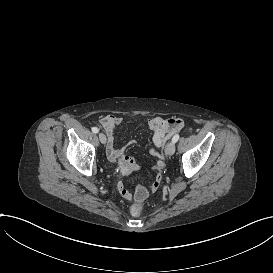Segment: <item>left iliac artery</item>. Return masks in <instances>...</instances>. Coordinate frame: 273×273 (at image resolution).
<instances>
[{"label": "left iliac artery", "mask_w": 273, "mask_h": 273, "mask_svg": "<svg viewBox=\"0 0 273 273\" xmlns=\"http://www.w3.org/2000/svg\"><path fill=\"white\" fill-rule=\"evenodd\" d=\"M178 140H179V135L178 134L174 135V137L172 138V141L176 143Z\"/></svg>", "instance_id": "1"}]
</instances>
